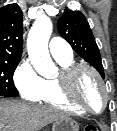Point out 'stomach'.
I'll list each match as a JSON object with an SVG mask.
<instances>
[{
    "label": "stomach",
    "mask_w": 117,
    "mask_h": 131,
    "mask_svg": "<svg viewBox=\"0 0 117 131\" xmlns=\"http://www.w3.org/2000/svg\"><path fill=\"white\" fill-rule=\"evenodd\" d=\"M52 131H79V124L69 118H60L53 122Z\"/></svg>",
    "instance_id": "stomach-1"
}]
</instances>
